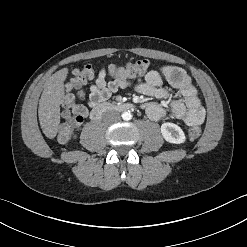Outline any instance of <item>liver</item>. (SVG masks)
I'll use <instances>...</instances> for the list:
<instances>
[{
	"mask_svg": "<svg viewBox=\"0 0 247 247\" xmlns=\"http://www.w3.org/2000/svg\"><path fill=\"white\" fill-rule=\"evenodd\" d=\"M68 69L63 68L54 73L44 85L39 100L38 116L40 126L46 137L53 139L59 129L60 104L65 94L64 81Z\"/></svg>",
	"mask_w": 247,
	"mask_h": 247,
	"instance_id": "1",
	"label": "liver"
}]
</instances>
